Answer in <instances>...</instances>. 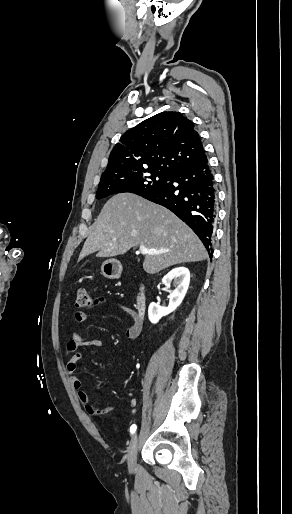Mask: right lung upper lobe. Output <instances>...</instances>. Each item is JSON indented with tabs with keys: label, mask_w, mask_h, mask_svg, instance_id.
Returning a JSON list of instances; mask_svg holds the SVG:
<instances>
[{
	"label": "right lung upper lobe",
	"mask_w": 292,
	"mask_h": 514,
	"mask_svg": "<svg viewBox=\"0 0 292 514\" xmlns=\"http://www.w3.org/2000/svg\"><path fill=\"white\" fill-rule=\"evenodd\" d=\"M205 156L192 121L179 112H162L122 135L101 180L152 171L172 175Z\"/></svg>",
	"instance_id": "right-lung-upper-lobe-1"
}]
</instances>
